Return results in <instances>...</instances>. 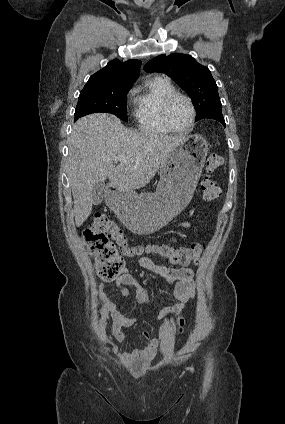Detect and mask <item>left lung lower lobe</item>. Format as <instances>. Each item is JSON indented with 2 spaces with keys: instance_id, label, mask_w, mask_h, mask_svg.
Listing matches in <instances>:
<instances>
[{
  "instance_id": "0a47b994",
  "label": "left lung lower lobe",
  "mask_w": 285,
  "mask_h": 424,
  "mask_svg": "<svg viewBox=\"0 0 285 424\" xmlns=\"http://www.w3.org/2000/svg\"><path fill=\"white\" fill-rule=\"evenodd\" d=\"M205 118L217 120L220 123H222V125L225 126V120H224V117H223L221 111H214V112L208 114Z\"/></svg>"
}]
</instances>
